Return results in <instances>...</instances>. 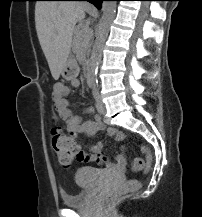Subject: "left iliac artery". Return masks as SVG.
<instances>
[{
  "label": "left iliac artery",
  "instance_id": "obj_1",
  "mask_svg": "<svg viewBox=\"0 0 202 217\" xmlns=\"http://www.w3.org/2000/svg\"><path fill=\"white\" fill-rule=\"evenodd\" d=\"M91 87H92L93 96L96 99L99 96V92H98V89H97V84L93 83V85Z\"/></svg>",
  "mask_w": 202,
  "mask_h": 217
}]
</instances>
